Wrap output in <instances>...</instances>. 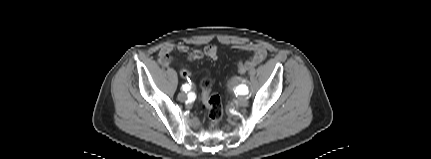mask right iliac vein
Instances as JSON below:
<instances>
[{
    "mask_svg": "<svg viewBox=\"0 0 431 159\" xmlns=\"http://www.w3.org/2000/svg\"><path fill=\"white\" fill-rule=\"evenodd\" d=\"M177 98H178L179 101L183 102V101L186 100L187 96H186L185 93L181 92V93L178 94Z\"/></svg>",
    "mask_w": 431,
    "mask_h": 159,
    "instance_id": "obj_1",
    "label": "right iliac vein"
}]
</instances>
